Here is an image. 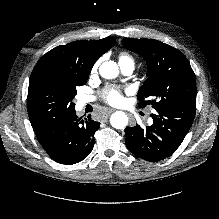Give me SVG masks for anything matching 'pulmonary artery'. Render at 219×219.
Segmentation results:
<instances>
[{
	"label": "pulmonary artery",
	"mask_w": 219,
	"mask_h": 219,
	"mask_svg": "<svg viewBox=\"0 0 219 219\" xmlns=\"http://www.w3.org/2000/svg\"><path fill=\"white\" fill-rule=\"evenodd\" d=\"M120 67H121L122 72L125 75H130L134 70V64L133 63L123 64V65H120ZM93 100H94V98L92 96H82L79 99V102H80L81 106H84V105L92 102Z\"/></svg>",
	"instance_id": "1"
}]
</instances>
